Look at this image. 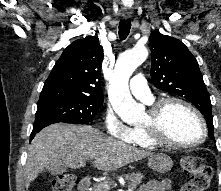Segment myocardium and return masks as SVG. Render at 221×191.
Instances as JSON below:
<instances>
[{
  "label": "myocardium",
  "instance_id": "obj_1",
  "mask_svg": "<svg viewBox=\"0 0 221 191\" xmlns=\"http://www.w3.org/2000/svg\"><path fill=\"white\" fill-rule=\"evenodd\" d=\"M179 105L190 111L198 120L201 127V137L199 140L191 143H179L169 140L165 130V114L171 105ZM147 132L150 140L156 146L171 148H194L201 145L207 138L208 129L204 117L200 111L188 101L178 97H164L154 102L147 115V121L141 126Z\"/></svg>",
  "mask_w": 221,
  "mask_h": 191
}]
</instances>
